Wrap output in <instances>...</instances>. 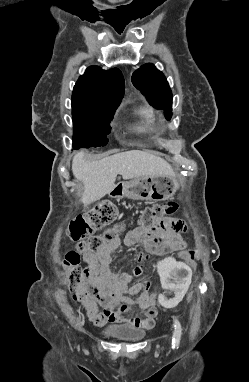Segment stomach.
Masks as SVG:
<instances>
[{
	"label": "stomach",
	"instance_id": "stomach-1",
	"mask_svg": "<svg viewBox=\"0 0 249 382\" xmlns=\"http://www.w3.org/2000/svg\"><path fill=\"white\" fill-rule=\"evenodd\" d=\"M179 183L175 178L166 176L145 175L132 181L119 180L109 192L110 198L127 197L133 200L164 201L172 197Z\"/></svg>",
	"mask_w": 249,
	"mask_h": 382
}]
</instances>
